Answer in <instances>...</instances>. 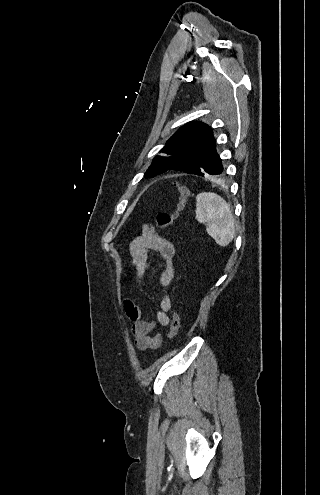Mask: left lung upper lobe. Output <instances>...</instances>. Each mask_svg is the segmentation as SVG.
<instances>
[{
	"instance_id": "obj_1",
	"label": "left lung upper lobe",
	"mask_w": 320,
	"mask_h": 495,
	"mask_svg": "<svg viewBox=\"0 0 320 495\" xmlns=\"http://www.w3.org/2000/svg\"><path fill=\"white\" fill-rule=\"evenodd\" d=\"M216 148L211 127L189 122L179 128L155 156L145 173L150 178L168 171H186Z\"/></svg>"
}]
</instances>
